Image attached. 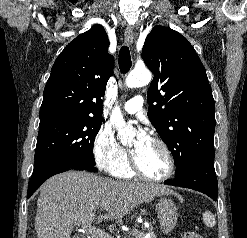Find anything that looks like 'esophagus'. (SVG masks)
<instances>
[{
	"label": "esophagus",
	"mask_w": 247,
	"mask_h": 238,
	"mask_svg": "<svg viewBox=\"0 0 247 238\" xmlns=\"http://www.w3.org/2000/svg\"><path fill=\"white\" fill-rule=\"evenodd\" d=\"M125 41L128 45H132L134 41V31L131 25H127L125 29Z\"/></svg>",
	"instance_id": "1"
}]
</instances>
